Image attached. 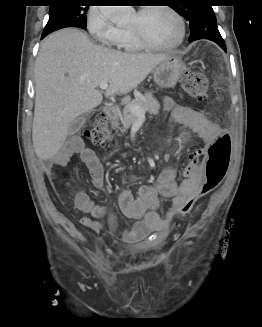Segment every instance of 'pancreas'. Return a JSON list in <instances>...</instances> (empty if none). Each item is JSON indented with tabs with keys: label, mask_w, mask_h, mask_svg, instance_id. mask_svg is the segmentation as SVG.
I'll list each match as a JSON object with an SVG mask.
<instances>
[{
	"label": "pancreas",
	"mask_w": 262,
	"mask_h": 327,
	"mask_svg": "<svg viewBox=\"0 0 262 327\" xmlns=\"http://www.w3.org/2000/svg\"><path fill=\"white\" fill-rule=\"evenodd\" d=\"M126 106L123 109L122 114L118 117L114 118L113 127L119 126V121L124 126L122 131H125L128 127H130L137 119V115L131 112V106L137 105L144 109V111L149 112L152 115H157L159 113L160 104L158 101L153 97L152 93H145L144 95H140L133 99L131 102L127 103V101H123Z\"/></svg>",
	"instance_id": "obj_1"
}]
</instances>
